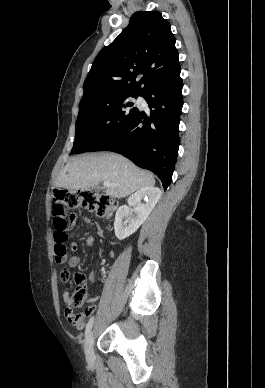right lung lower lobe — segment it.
<instances>
[{
  "instance_id": "98d812e1",
  "label": "right lung lower lobe",
  "mask_w": 265,
  "mask_h": 388,
  "mask_svg": "<svg viewBox=\"0 0 265 388\" xmlns=\"http://www.w3.org/2000/svg\"><path fill=\"white\" fill-rule=\"evenodd\" d=\"M182 87L180 74L149 86L140 94L150 108L149 114L137 109L101 149L122 154L152 171L165 190L171 182L180 142Z\"/></svg>"
}]
</instances>
